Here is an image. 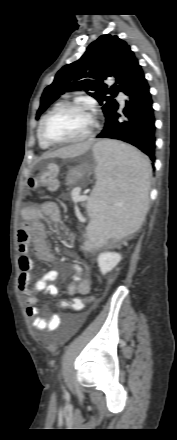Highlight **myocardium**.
<instances>
[{
	"label": "myocardium",
	"instance_id": "myocardium-1",
	"mask_svg": "<svg viewBox=\"0 0 177 440\" xmlns=\"http://www.w3.org/2000/svg\"><path fill=\"white\" fill-rule=\"evenodd\" d=\"M69 109H77V110H83L86 111L92 120V126L90 130L82 137L72 140H55L47 136L46 134V126L48 122L58 113L69 110ZM98 128V121L94 114L92 113L89 106L81 104V103H75V102H65L57 107H55L53 110H51L46 117L43 119L41 126H40V136L42 139L47 142L48 144L52 145H68V144H77L84 141L89 140L93 135L95 130Z\"/></svg>",
	"mask_w": 177,
	"mask_h": 440
}]
</instances>
